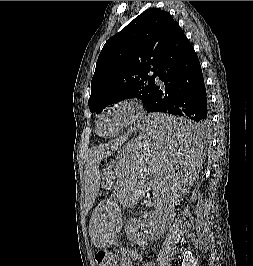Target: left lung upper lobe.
I'll list each match as a JSON object with an SVG mask.
<instances>
[{
	"mask_svg": "<svg viewBox=\"0 0 253 266\" xmlns=\"http://www.w3.org/2000/svg\"><path fill=\"white\" fill-rule=\"evenodd\" d=\"M176 24L169 13L151 8L105 43L91 81V112L98 114L110 104L134 97L149 108L157 64ZM150 71L154 75L149 76Z\"/></svg>",
	"mask_w": 253,
	"mask_h": 266,
	"instance_id": "5c2ea615",
	"label": "left lung upper lobe"
}]
</instances>
